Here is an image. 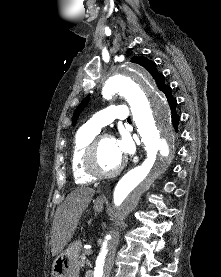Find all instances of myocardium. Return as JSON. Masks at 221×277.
<instances>
[{
    "instance_id": "f54148a6",
    "label": "myocardium",
    "mask_w": 221,
    "mask_h": 277,
    "mask_svg": "<svg viewBox=\"0 0 221 277\" xmlns=\"http://www.w3.org/2000/svg\"><path fill=\"white\" fill-rule=\"evenodd\" d=\"M111 139L110 135H100L96 136L93 141L88 146L84 159H83V169L84 172L92 179H109L117 176L124 168L125 162L122 160L120 164L110 172H101L98 170L96 165V158L98 153V148L102 140Z\"/></svg>"
}]
</instances>
